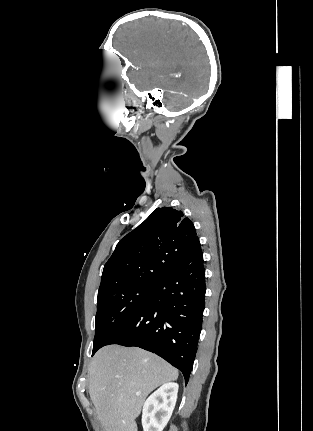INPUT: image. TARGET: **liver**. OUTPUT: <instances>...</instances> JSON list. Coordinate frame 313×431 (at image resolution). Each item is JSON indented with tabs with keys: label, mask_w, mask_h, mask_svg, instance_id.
I'll use <instances>...</instances> for the list:
<instances>
[{
	"label": "liver",
	"mask_w": 313,
	"mask_h": 431,
	"mask_svg": "<svg viewBox=\"0 0 313 431\" xmlns=\"http://www.w3.org/2000/svg\"><path fill=\"white\" fill-rule=\"evenodd\" d=\"M89 393L105 431H137L135 419L158 386L175 381L178 371L141 348L109 345L93 357Z\"/></svg>",
	"instance_id": "obj_1"
}]
</instances>
